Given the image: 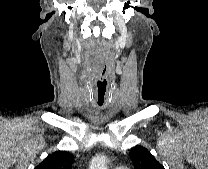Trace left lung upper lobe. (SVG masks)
<instances>
[{
    "mask_svg": "<svg viewBox=\"0 0 208 169\" xmlns=\"http://www.w3.org/2000/svg\"><path fill=\"white\" fill-rule=\"evenodd\" d=\"M130 157L136 169H164L163 165L142 146H135L132 148Z\"/></svg>",
    "mask_w": 208,
    "mask_h": 169,
    "instance_id": "obj_1",
    "label": "left lung upper lobe"
}]
</instances>
